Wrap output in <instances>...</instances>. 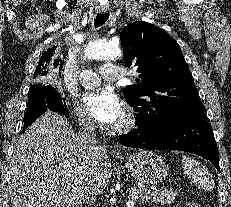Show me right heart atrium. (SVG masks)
<instances>
[{
	"label": "right heart atrium",
	"instance_id": "obj_1",
	"mask_svg": "<svg viewBox=\"0 0 231 207\" xmlns=\"http://www.w3.org/2000/svg\"><path fill=\"white\" fill-rule=\"evenodd\" d=\"M76 116L78 118L79 124L81 127L85 129H91L93 128L94 124L90 117L87 115V113L81 109V108H76L75 109Z\"/></svg>",
	"mask_w": 231,
	"mask_h": 207
}]
</instances>
